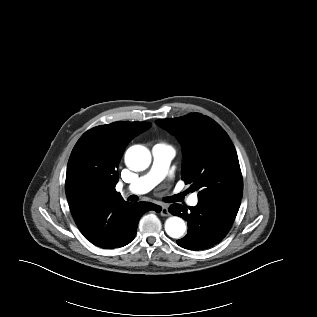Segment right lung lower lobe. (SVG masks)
Here are the masks:
<instances>
[{"mask_svg": "<svg viewBox=\"0 0 317 317\" xmlns=\"http://www.w3.org/2000/svg\"><path fill=\"white\" fill-rule=\"evenodd\" d=\"M72 216L81 233L92 244L114 249L129 244L136 235L141 216L161 207L150 202L103 203L96 196L81 195L69 202Z\"/></svg>", "mask_w": 317, "mask_h": 317, "instance_id": "98d812e1", "label": "right lung lower lobe"}]
</instances>
